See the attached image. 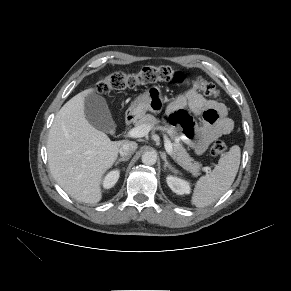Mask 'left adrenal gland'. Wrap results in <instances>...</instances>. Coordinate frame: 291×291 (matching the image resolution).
Returning a JSON list of instances; mask_svg holds the SVG:
<instances>
[{
	"instance_id": "obj_1",
	"label": "left adrenal gland",
	"mask_w": 291,
	"mask_h": 291,
	"mask_svg": "<svg viewBox=\"0 0 291 291\" xmlns=\"http://www.w3.org/2000/svg\"><path fill=\"white\" fill-rule=\"evenodd\" d=\"M161 157L164 161V170H166V168H168L169 170H173L174 167H172V165L168 162V160L166 159V154L165 153H162L161 154Z\"/></svg>"
}]
</instances>
